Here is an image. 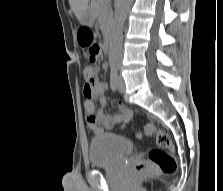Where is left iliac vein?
<instances>
[{
	"label": "left iliac vein",
	"instance_id": "4c4485c4",
	"mask_svg": "<svg viewBox=\"0 0 223 191\" xmlns=\"http://www.w3.org/2000/svg\"><path fill=\"white\" fill-rule=\"evenodd\" d=\"M118 81V90L120 93H123L125 91V82L122 76L117 77Z\"/></svg>",
	"mask_w": 223,
	"mask_h": 191
}]
</instances>
